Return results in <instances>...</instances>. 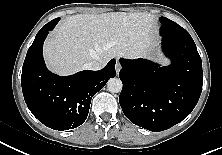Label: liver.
<instances>
[{"mask_svg": "<svg viewBox=\"0 0 222 155\" xmlns=\"http://www.w3.org/2000/svg\"><path fill=\"white\" fill-rule=\"evenodd\" d=\"M156 21L148 13L77 14L62 20L44 45L48 68L70 75L90 61L146 56L156 43Z\"/></svg>", "mask_w": 222, "mask_h": 155, "instance_id": "1", "label": "liver"}]
</instances>
